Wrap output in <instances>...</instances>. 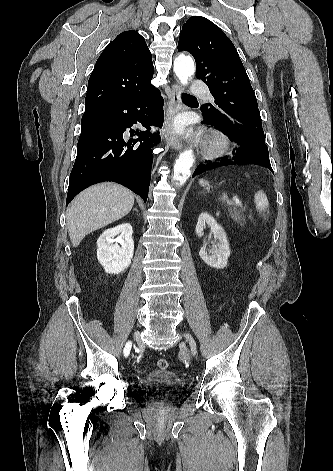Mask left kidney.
Here are the masks:
<instances>
[{"label": "left kidney", "instance_id": "left-kidney-1", "mask_svg": "<svg viewBox=\"0 0 333 471\" xmlns=\"http://www.w3.org/2000/svg\"><path fill=\"white\" fill-rule=\"evenodd\" d=\"M208 225L211 228V232L214 235L216 249L207 254L205 247H202L199 251L201 259L210 267L222 269L227 266L228 257L230 256L229 242L227 240L224 229L215 221V219L208 213H201L196 225V234L201 236L203 230Z\"/></svg>", "mask_w": 333, "mask_h": 471}]
</instances>
